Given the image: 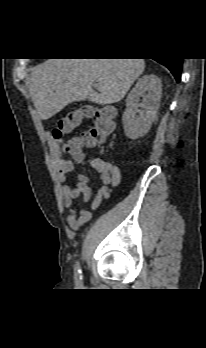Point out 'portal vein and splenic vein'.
Listing matches in <instances>:
<instances>
[{
  "instance_id": "obj_1",
  "label": "portal vein and splenic vein",
  "mask_w": 206,
  "mask_h": 348,
  "mask_svg": "<svg viewBox=\"0 0 206 348\" xmlns=\"http://www.w3.org/2000/svg\"><path fill=\"white\" fill-rule=\"evenodd\" d=\"M95 87H96V88H98V87H99V84H98V83H96V84H95Z\"/></svg>"
}]
</instances>
